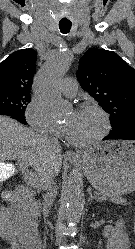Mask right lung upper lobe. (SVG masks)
I'll use <instances>...</instances> for the list:
<instances>
[{
	"label": "right lung upper lobe",
	"instance_id": "right-lung-upper-lobe-1",
	"mask_svg": "<svg viewBox=\"0 0 135 249\" xmlns=\"http://www.w3.org/2000/svg\"><path fill=\"white\" fill-rule=\"evenodd\" d=\"M37 53L22 49L10 54L0 63V91L30 92Z\"/></svg>",
	"mask_w": 135,
	"mask_h": 249
}]
</instances>
